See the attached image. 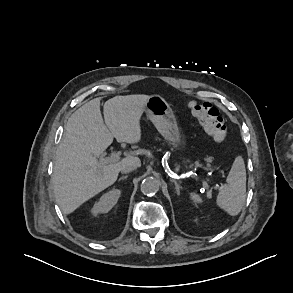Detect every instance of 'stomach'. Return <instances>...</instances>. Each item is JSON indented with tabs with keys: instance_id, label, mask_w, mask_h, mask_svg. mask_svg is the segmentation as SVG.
<instances>
[{
	"instance_id": "0dacf381",
	"label": "stomach",
	"mask_w": 293,
	"mask_h": 293,
	"mask_svg": "<svg viewBox=\"0 0 293 293\" xmlns=\"http://www.w3.org/2000/svg\"><path fill=\"white\" fill-rule=\"evenodd\" d=\"M145 111L159 133L175 149H181L184 141L169 104L159 95H152L146 102Z\"/></svg>"
}]
</instances>
